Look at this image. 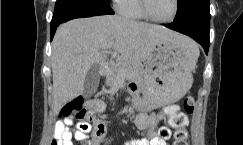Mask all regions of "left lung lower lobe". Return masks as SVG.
<instances>
[{
  "instance_id": "left-lung-lower-lobe-1",
  "label": "left lung lower lobe",
  "mask_w": 243,
  "mask_h": 145,
  "mask_svg": "<svg viewBox=\"0 0 243 145\" xmlns=\"http://www.w3.org/2000/svg\"><path fill=\"white\" fill-rule=\"evenodd\" d=\"M167 28L176 30L183 34H186L196 40L199 44L202 45L206 54L208 53L210 41L209 35L205 34L200 28L195 24L192 25L191 22L186 21L179 16V13L176 14L174 21L168 25H165Z\"/></svg>"
}]
</instances>
